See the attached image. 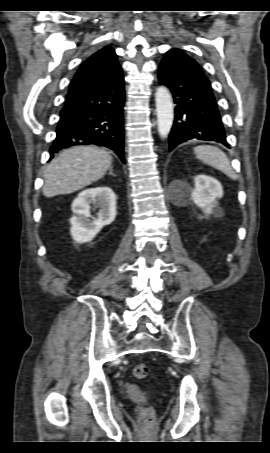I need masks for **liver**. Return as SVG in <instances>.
<instances>
[{"label":"liver","mask_w":270,"mask_h":453,"mask_svg":"<svg viewBox=\"0 0 270 453\" xmlns=\"http://www.w3.org/2000/svg\"><path fill=\"white\" fill-rule=\"evenodd\" d=\"M111 163V156L102 148L78 146L66 149L46 167L43 194L52 198L80 190L102 178Z\"/></svg>","instance_id":"1"}]
</instances>
